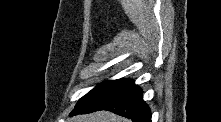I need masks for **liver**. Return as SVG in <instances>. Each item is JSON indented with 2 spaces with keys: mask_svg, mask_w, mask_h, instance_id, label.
Returning a JSON list of instances; mask_svg holds the SVG:
<instances>
[{
  "mask_svg": "<svg viewBox=\"0 0 221 122\" xmlns=\"http://www.w3.org/2000/svg\"><path fill=\"white\" fill-rule=\"evenodd\" d=\"M69 120L70 122H130L128 119L108 111H99L88 115H79Z\"/></svg>",
  "mask_w": 221,
  "mask_h": 122,
  "instance_id": "liver-1",
  "label": "liver"
}]
</instances>
